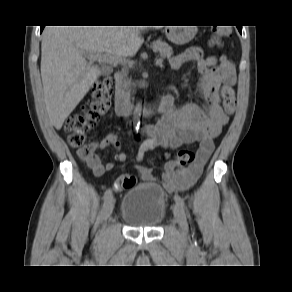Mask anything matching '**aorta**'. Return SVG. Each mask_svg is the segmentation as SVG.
<instances>
[{
    "label": "aorta",
    "mask_w": 292,
    "mask_h": 292,
    "mask_svg": "<svg viewBox=\"0 0 292 292\" xmlns=\"http://www.w3.org/2000/svg\"><path fill=\"white\" fill-rule=\"evenodd\" d=\"M134 119L135 120H138L139 119V106L136 107Z\"/></svg>",
    "instance_id": "762f6f07"
}]
</instances>
